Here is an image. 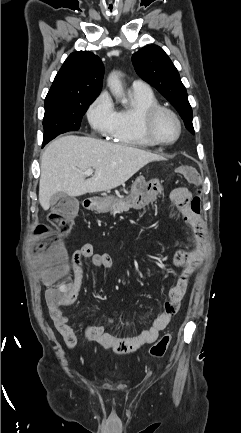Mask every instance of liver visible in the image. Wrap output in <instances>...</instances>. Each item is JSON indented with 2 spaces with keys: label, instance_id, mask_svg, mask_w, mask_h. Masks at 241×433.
I'll return each instance as SVG.
<instances>
[{
  "label": "liver",
  "instance_id": "6515ba94",
  "mask_svg": "<svg viewBox=\"0 0 241 433\" xmlns=\"http://www.w3.org/2000/svg\"><path fill=\"white\" fill-rule=\"evenodd\" d=\"M163 157L134 147L90 137L64 136L55 139L41 156L39 202L44 210L57 192L71 197L109 191L124 184L137 171ZM94 169L85 180L84 172Z\"/></svg>",
  "mask_w": 241,
  "mask_h": 433
}]
</instances>
